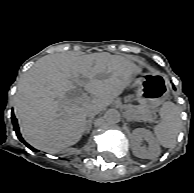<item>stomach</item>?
<instances>
[{
    "instance_id": "stomach-1",
    "label": "stomach",
    "mask_w": 194,
    "mask_h": 193,
    "mask_svg": "<svg viewBox=\"0 0 194 193\" xmlns=\"http://www.w3.org/2000/svg\"><path fill=\"white\" fill-rule=\"evenodd\" d=\"M136 88L139 108L151 110L161 105L168 97L169 90L165 77L154 73H138L131 82Z\"/></svg>"
}]
</instances>
